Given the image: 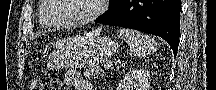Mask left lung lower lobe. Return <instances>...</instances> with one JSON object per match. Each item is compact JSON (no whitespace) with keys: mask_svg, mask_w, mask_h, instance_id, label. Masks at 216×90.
Segmentation results:
<instances>
[{"mask_svg":"<svg viewBox=\"0 0 216 90\" xmlns=\"http://www.w3.org/2000/svg\"><path fill=\"white\" fill-rule=\"evenodd\" d=\"M181 0H119L95 22L132 28L160 36L176 55L179 44Z\"/></svg>","mask_w":216,"mask_h":90,"instance_id":"0a47b994","label":"left lung lower lobe"}]
</instances>
